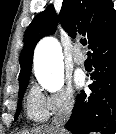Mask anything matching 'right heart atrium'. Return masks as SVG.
I'll list each match as a JSON object with an SVG mask.
<instances>
[{
    "label": "right heart atrium",
    "mask_w": 116,
    "mask_h": 134,
    "mask_svg": "<svg viewBox=\"0 0 116 134\" xmlns=\"http://www.w3.org/2000/svg\"><path fill=\"white\" fill-rule=\"evenodd\" d=\"M42 95V94H41ZM48 115L55 116L71 111L75 98L71 87H63L47 96L42 95Z\"/></svg>",
    "instance_id": "d8ad5b80"
}]
</instances>
